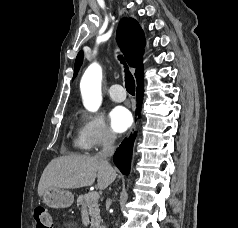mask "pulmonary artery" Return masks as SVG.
Listing matches in <instances>:
<instances>
[{"instance_id":"1","label":"pulmonary artery","mask_w":238,"mask_h":228,"mask_svg":"<svg viewBox=\"0 0 238 228\" xmlns=\"http://www.w3.org/2000/svg\"><path fill=\"white\" fill-rule=\"evenodd\" d=\"M109 97L116 102H121L126 98V92L119 84L112 85L108 90Z\"/></svg>"}]
</instances>
